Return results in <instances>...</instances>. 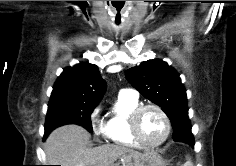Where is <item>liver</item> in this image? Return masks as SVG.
Masks as SVG:
<instances>
[{
  "instance_id": "6515ba94",
  "label": "liver",
  "mask_w": 236,
  "mask_h": 166,
  "mask_svg": "<svg viewBox=\"0 0 236 166\" xmlns=\"http://www.w3.org/2000/svg\"><path fill=\"white\" fill-rule=\"evenodd\" d=\"M89 133L78 125L61 126L50 133L44 145L50 165L114 166L117 159L123 164H136L145 154L122 145L107 144L89 147Z\"/></svg>"
}]
</instances>
